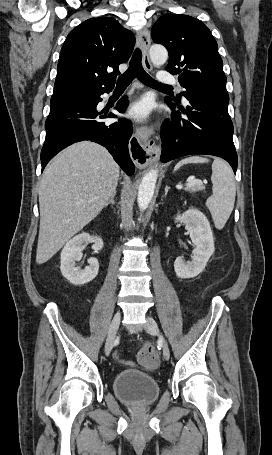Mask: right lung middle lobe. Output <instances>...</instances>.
Segmentation results:
<instances>
[{
	"instance_id": "obj_1",
	"label": "right lung middle lobe",
	"mask_w": 272,
	"mask_h": 455,
	"mask_svg": "<svg viewBox=\"0 0 272 455\" xmlns=\"http://www.w3.org/2000/svg\"><path fill=\"white\" fill-rule=\"evenodd\" d=\"M89 97L87 98H80V99H74V100H70V101H67V102H62V103H51L50 104V109H54V108H57L59 106H62L64 104H68V103H82L84 101H86Z\"/></svg>"
}]
</instances>
